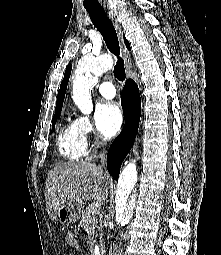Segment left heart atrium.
Masks as SVG:
<instances>
[{
  "instance_id": "obj_1",
  "label": "left heart atrium",
  "mask_w": 221,
  "mask_h": 255,
  "mask_svg": "<svg viewBox=\"0 0 221 255\" xmlns=\"http://www.w3.org/2000/svg\"><path fill=\"white\" fill-rule=\"evenodd\" d=\"M123 121L122 111L116 103L100 104L96 110L98 129L107 135H113L120 128Z\"/></svg>"
}]
</instances>
